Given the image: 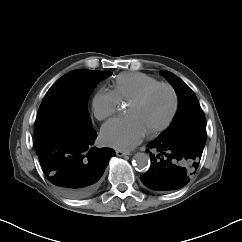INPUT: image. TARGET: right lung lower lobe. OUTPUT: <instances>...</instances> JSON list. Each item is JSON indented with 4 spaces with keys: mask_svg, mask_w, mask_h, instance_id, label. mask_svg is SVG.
I'll return each instance as SVG.
<instances>
[{
    "mask_svg": "<svg viewBox=\"0 0 242 242\" xmlns=\"http://www.w3.org/2000/svg\"><path fill=\"white\" fill-rule=\"evenodd\" d=\"M96 131L53 129L35 138L36 154L48 180L64 195L83 199L99 188L111 148H95Z\"/></svg>",
    "mask_w": 242,
    "mask_h": 242,
    "instance_id": "98d812e1",
    "label": "right lung lower lobe"
}]
</instances>
